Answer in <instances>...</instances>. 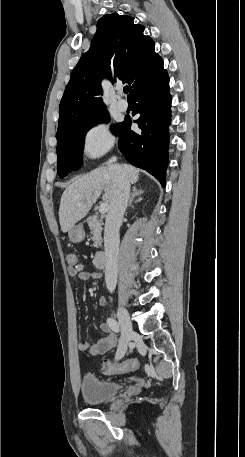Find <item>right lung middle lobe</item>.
I'll return each mask as SVG.
<instances>
[{"instance_id":"right-lung-middle-lobe-1","label":"right lung middle lobe","mask_w":245,"mask_h":457,"mask_svg":"<svg viewBox=\"0 0 245 457\" xmlns=\"http://www.w3.org/2000/svg\"><path fill=\"white\" fill-rule=\"evenodd\" d=\"M110 115L106 109L90 116L66 123L57 131V172L64 178L69 172L81 166L84 136L93 126L108 122ZM120 123L114 127L115 133L119 132Z\"/></svg>"}]
</instances>
